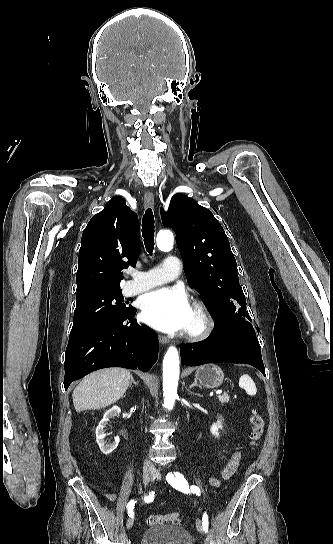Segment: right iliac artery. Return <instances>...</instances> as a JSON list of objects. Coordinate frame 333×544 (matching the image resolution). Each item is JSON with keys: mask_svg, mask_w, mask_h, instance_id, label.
<instances>
[{"mask_svg": "<svg viewBox=\"0 0 333 544\" xmlns=\"http://www.w3.org/2000/svg\"><path fill=\"white\" fill-rule=\"evenodd\" d=\"M154 500V496L152 494L149 493V495L145 496L144 498V501L149 503V502H152ZM136 501L135 500H131L128 502L127 504V512H128V515L129 517H133L134 516V505H135Z\"/></svg>", "mask_w": 333, "mask_h": 544, "instance_id": "1", "label": "right iliac artery"}]
</instances>
